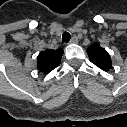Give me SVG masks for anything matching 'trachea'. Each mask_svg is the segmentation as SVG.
Wrapping results in <instances>:
<instances>
[{
	"label": "trachea",
	"mask_w": 127,
	"mask_h": 127,
	"mask_svg": "<svg viewBox=\"0 0 127 127\" xmlns=\"http://www.w3.org/2000/svg\"><path fill=\"white\" fill-rule=\"evenodd\" d=\"M71 39V35L68 32H64L62 35V41L68 43Z\"/></svg>",
	"instance_id": "trachea-1"
}]
</instances>
